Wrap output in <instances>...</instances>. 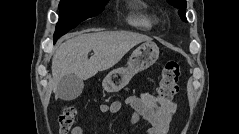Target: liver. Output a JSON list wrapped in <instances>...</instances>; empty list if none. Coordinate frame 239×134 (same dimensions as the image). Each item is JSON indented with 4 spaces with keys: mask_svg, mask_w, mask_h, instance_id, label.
Listing matches in <instances>:
<instances>
[{
    "mask_svg": "<svg viewBox=\"0 0 239 134\" xmlns=\"http://www.w3.org/2000/svg\"><path fill=\"white\" fill-rule=\"evenodd\" d=\"M151 38L134 32H98L77 35L60 45L52 58L53 91L62 77L74 74L86 80L117 64L134 46ZM94 55L88 59L89 52ZM56 94V98H57Z\"/></svg>",
    "mask_w": 239,
    "mask_h": 134,
    "instance_id": "obj_1",
    "label": "liver"
}]
</instances>
